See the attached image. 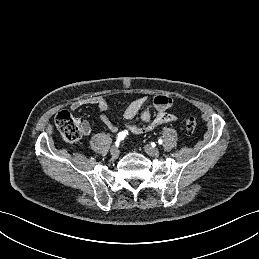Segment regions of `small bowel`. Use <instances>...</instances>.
Segmentation results:
<instances>
[{
	"label": "small bowel",
	"mask_w": 259,
	"mask_h": 259,
	"mask_svg": "<svg viewBox=\"0 0 259 259\" xmlns=\"http://www.w3.org/2000/svg\"><path fill=\"white\" fill-rule=\"evenodd\" d=\"M148 98L146 96L139 97L132 101L123 113V125L126 129L131 130L133 133H143L154 129L155 127L173 122L176 120V116L168 113V109L172 106L173 100L171 97L166 95H158L154 98V107L156 114L152 117L150 107L147 105ZM86 105L97 106L100 112V119L103 124L112 132L118 130L117 126L112 122L107 114L109 105L107 101L101 96H93L73 102L70 105L71 110L80 109ZM140 115V124H132L131 121ZM82 131L85 135L91 131L90 124L87 120H83Z\"/></svg>",
	"instance_id": "c3829d8e"
}]
</instances>
